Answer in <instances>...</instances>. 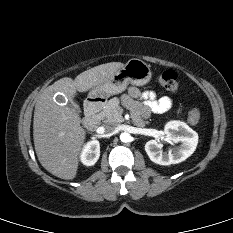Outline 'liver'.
I'll use <instances>...</instances> for the list:
<instances>
[{"instance_id": "liver-1", "label": "liver", "mask_w": 233, "mask_h": 233, "mask_svg": "<svg viewBox=\"0 0 233 233\" xmlns=\"http://www.w3.org/2000/svg\"><path fill=\"white\" fill-rule=\"evenodd\" d=\"M123 66L121 62L101 64L75 80L64 77L41 89L34 110L33 139L38 160L48 172L61 179H74L86 135L79 114L69 105L56 103L54 94L62 92L72 103L77 91L86 92L110 80Z\"/></svg>"}]
</instances>
